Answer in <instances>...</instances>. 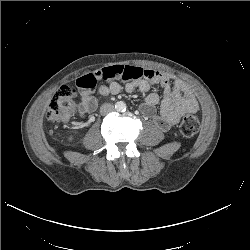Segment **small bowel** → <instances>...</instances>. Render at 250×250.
Instances as JSON below:
<instances>
[{"instance_id": "obj_1", "label": "small bowel", "mask_w": 250, "mask_h": 250, "mask_svg": "<svg viewBox=\"0 0 250 250\" xmlns=\"http://www.w3.org/2000/svg\"><path fill=\"white\" fill-rule=\"evenodd\" d=\"M99 81L104 82L98 88L102 96L117 95L123 91L148 92L151 85H161V97L156 93L148 94L140 109L163 131L171 129L184 114L195 113L198 110V102L184 81L154 69L114 65L88 73L76 80L81 96L78 106L81 117L96 110L98 101L92 93ZM157 105H160L159 112L156 109Z\"/></svg>"}]
</instances>
